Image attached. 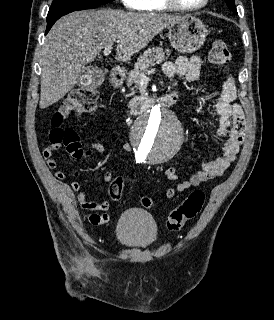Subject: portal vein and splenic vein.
<instances>
[{
  "instance_id": "18ae733b",
  "label": "portal vein and splenic vein",
  "mask_w": 274,
  "mask_h": 320,
  "mask_svg": "<svg viewBox=\"0 0 274 320\" xmlns=\"http://www.w3.org/2000/svg\"><path fill=\"white\" fill-rule=\"evenodd\" d=\"M111 46H107V48H104L103 56H109L111 54ZM146 74H150V72H153V70H144ZM141 78H146L145 74H142Z\"/></svg>"
}]
</instances>
